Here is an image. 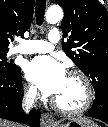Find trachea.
Here are the masks:
<instances>
[{"instance_id": "trachea-1", "label": "trachea", "mask_w": 108, "mask_h": 127, "mask_svg": "<svg viewBox=\"0 0 108 127\" xmlns=\"http://www.w3.org/2000/svg\"><path fill=\"white\" fill-rule=\"evenodd\" d=\"M45 9H46V0H36L35 16L36 23L38 26H41L44 21Z\"/></svg>"}]
</instances>
